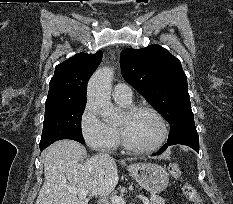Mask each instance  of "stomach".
<instances>
[{
  "label": "stomach",
  "mask_w": 233,
  "mask_h": 204,
  "mask_svg": "<svg viewBox=\"0 0 233 204\" xmlns=\"http://www.w3.org/2000/svg\"><path fill=\"white\" fill-rule=\"evenodd\" d=\"M129 173L144 189L152 194L162 192L168 185L166 170L154 163H137L128 167Z\"/></svg>",
  "instance_id": "1"
}]
</instances>
